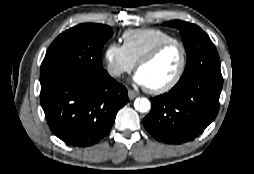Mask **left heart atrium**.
<instances>
[{"instance_id":"left-heart-atrium-1","label":"left heart atrium","mask_w":254,"mask_h":174,"mask_svg":"<svg viewBox=\"0 0 254 174\" xmlns=\"http://www.w3.org/2000/svg\"><path fill=\"white\" fill-rule=\"evenodd\" d=\"M133 81L137 84V85H140V86H143V87H147V83L144 79V77L142 76L141 73H139L138 71L135 73L134 77H133Z\"/></svg>"}]
</instances>
